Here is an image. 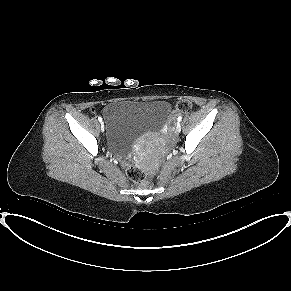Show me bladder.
<instances>
[{
	"label": "bladder",
	"mask_w": 291,
	"mask_h": 291,
	"mask_svg": "<svg viewBox=\"0 0 291 291\" xmlns=\"http://www.w3.org/2000/svg\"><path fill=\"white\" fill-rule=\"evenodd\" d=\"M171 113L165 100L113 101L104 110V131L109 146L128 148L138 137L159 130Z\"/></svg>",
	"instance_id": "bladder-1"
}]
</instances>
